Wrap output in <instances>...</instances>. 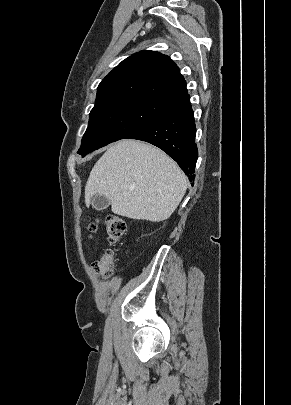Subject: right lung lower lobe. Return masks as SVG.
Returning <instances> with one entry per match:
<instances>
[{
    "label": "right lung lower lobe",
    "mask_w": 291,
    "mask_h": 405,
    "mask_svg": "<svg viewBox=\"0 0 291 405\" xmlns=\"http://www.w3.org/2000/svg\"><path fill=\"white\" fill-rule=\"evenodd\" d=\"M195 134L194 113L186 92L126 138L146 141L162 149L179 164L191 182L198 158Z\"/></svg>",
    "instance_id": "1"
}]
</instances>
